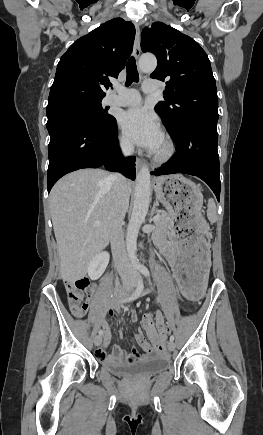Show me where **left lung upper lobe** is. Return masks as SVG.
<instances>
[{"label": "left lung upper lobe", "instance_id": "1", "mask_svg": "<svg viewBox=\"0 0 263 435\" xmlns=\"http://www.w3.org/2000/svg\"><path fill=\"white\" fill-rule=\"evenodd\" d=\"M141 49L157 57V67L150 77L167 80L165 101H160L155 111L169 133L188 121H218L215 79L209 58L196 41L155 22L143 31Z\"/></svg>", "mask_w": 263, "mask_h": 435}]
</instances>
